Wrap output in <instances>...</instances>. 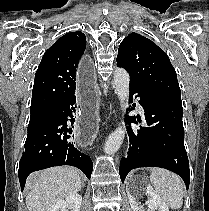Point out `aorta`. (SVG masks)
Here are the masks:
<instances>
[{"label": "aorta", "instance_id": "1", "mask_svg": "<svg viewBox=\"0 0 209 211\" xmlns=\"http://www.w3.org/2000/svg\"><path fill=\"white\" fill-rule=\"evenodd\" d=\"M129 74L123 68H117L114 72V84L116 93L121 103V107L125 110L128 108L129 98ZM126 133L124 124L116 128L107 138L104 145V152L106 154H113L120 148Z\"/></svg>", "mask_w": 209, "mask_h": 211}]
</instances>
